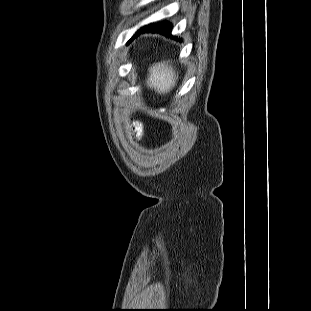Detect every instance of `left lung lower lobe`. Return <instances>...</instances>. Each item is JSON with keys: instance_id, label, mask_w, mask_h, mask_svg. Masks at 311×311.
Here are the masks:
<instances>
[{"instance_id": "obj_1", "label": "left lung lower lobe", "mask_w": 311, "mask_h": 311, "mask_svg": "<svg viewBox=\"0 0 311 311\" xmlns=\"http://www.w3.org/2000/svg\"><path fill=\"white\" fill-rule=\"evenodd\" d=\"M171 30H172V24L167 22V21L166 22H160L157 24H150L148 26H145V27H142L141 29H139L135 33V35L130 39V41H132L134 38H136L139 34L145 33V32L161 33V34L165 35L166 37H173L171 35Z\"/></svg>"}]
</instances>
